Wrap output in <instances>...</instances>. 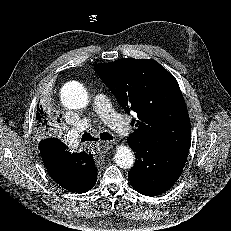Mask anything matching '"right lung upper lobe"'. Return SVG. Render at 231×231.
<instances>
[{
  "label": "right lung upper lobe",
  "mask_w": 231,
  "mask_h": 231,
  "mask_svg": "<svg viewBox=\"0 0 231 231\" xmlns=\"http://www.w3.org/2000/svg\"><path fill=\"white\" fill-rule=\"evenodd\" d=\"M36 119L39 123V129H45L47 123V116L45 111L43 110L42 106L37 105V111H36ZM48 139V138H47ZM70 157L68 159H65L61 161L57 165V167L54 169V171L57 172L58 175L62 177V180L65 181V183L74 182V178H76L75 175V168L77 167L76 162H78L79 159H81V156L79 153H71L69 152ZM47 169H51L54 165L45 164Z\"/></svg>",
  "instance_id": "cb5924a9"
}]
</instances>
